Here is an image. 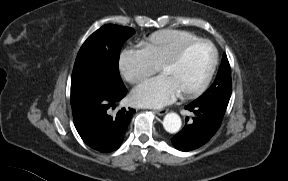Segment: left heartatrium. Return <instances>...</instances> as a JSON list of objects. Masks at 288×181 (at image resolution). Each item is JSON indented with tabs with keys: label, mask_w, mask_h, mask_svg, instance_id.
<instances>
[{
	"label": "left heart atrium",
	"mask_w": 288,
	"mask_h": 181,
	"mask_svg": "<svg viewBox=\"0 0 288 181\" xmlns=\"http://www.w3.org/2000/svg\"><path fill=\"white\" fill-rule=\"evenodd\" d=\"M179 92L164 75L147 80L137 86L132 93L135 104L158 108L171 103Z\"/></svg>",
	"instance_id": "39dd6f15"
}]
</instances>
